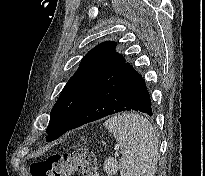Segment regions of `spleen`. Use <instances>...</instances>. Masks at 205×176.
I'll list each match as a JSON object with an SVG mask.
<instances>
[{
	"label": "spleen",
	"instance_id": "1",
	"mask_svg": "<svg viewBox=\"0 0 205 176\" xmlns=\"http://www.w3.org/2000/svg\"><path fill=\"white\" fill-rule=\"evenodd\" d=\"M122 151L121 176H154L157 170L159 141L152 124L138 114H122L105 121Z\"/></svg>",
	"mask_w": 205,
	"mask_h": 176
}]
</instances>
